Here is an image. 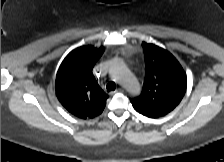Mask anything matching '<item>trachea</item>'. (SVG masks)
I'll use <instances>...</instances> for the list:
<instances>
[{
  "instance_id": "trachea-1",
  "label": "trachea",
  "mask_w": 224,
  "mask_h": 162,
  "mask_svg": "<svg viewBox=\"0 0 224 162\" xmlns=\"http://www.w3.org/2000/svg\"><path fill=\"white\" fill-rule=\"evenodd\" d=\"M106 88H107L108 92L114 91L116 88V84L113 81H110V82H108Z\"/></svg>"
}]
</instances>
